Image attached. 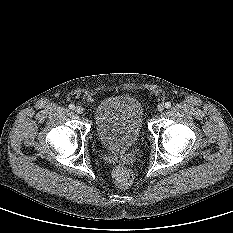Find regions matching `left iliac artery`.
Returning <instances> with one entry per match:
<instances>
[{"label":"left iliac artery","instance_id":"left-iliac-artery-1","mask_svg":"<svg viewBox=\"0 0 233 233\" xmlns=\"http://www.w3.org/2000/svg\"><path fill=\"white\" fill-rule=\"evenodd\" d=\"M165 107H166V108H170V107H171V103H170V102H166V103H165Z\"/></svg>","mask_w":233,"mask_h":233}]
</instances>
